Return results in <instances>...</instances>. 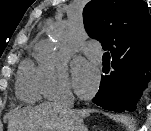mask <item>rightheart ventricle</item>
<instances>
[{
    "label": "right heart ventricle",
    "mask_w": 151,
    "mask_h": 131,
    "mask_svg": "<svg viewBox=\"0 0 151 131\" xmlns=\"http://www.w3.org/2000/svg\"><path fill=\"white\" fill-rule=\"evenodd\" d=\"M16 93L21 100L27 103H34L43 95L38 68L29 60L25 61L20 67Z\"/></svg>",
    "instance_id": "1"
}]
</instances>
